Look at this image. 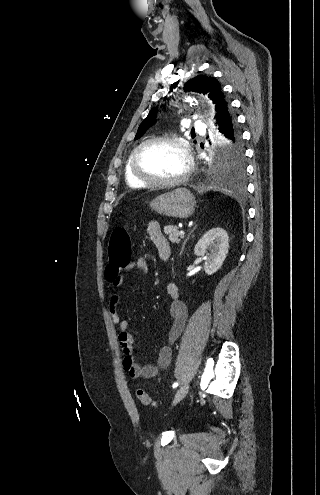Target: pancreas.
Masks as SVG:
<instances>
[{"label":"pancreas","instance_id":"1","mask_svg":"<svg viewBox=\"0 0 320 495\" xmlns=\"http://www.w3.org/2000/svg\"><path fill=\"white\" fill-rule=\"evenodd\" d=\"M164 233L168 235V238L172 243H179L180 238H183V236L179 234L177 226H173V225L165 226Z\"/></svg>","mask_w":320,"mask_h":495}]
</instances>
